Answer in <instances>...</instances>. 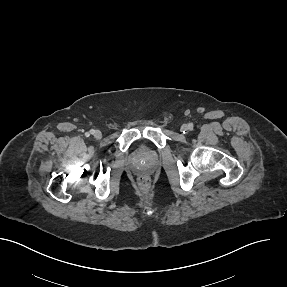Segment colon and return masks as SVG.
<instances>
[{"instance_id": "obj_1", "label": "colon", "mask_w": 287, "mask_h": 287, "mask_svg": "<svg viewBox=\"0 0 287 287\" xmlns=\"http://www.w3.org/2000/svg\"><path fill=\"white\" fill-rule=\"evenodd\" d=\"M138 185L142 190H146L150 185V179L146 175H141L138 178Z\"/></svg>"}]
</instances>
